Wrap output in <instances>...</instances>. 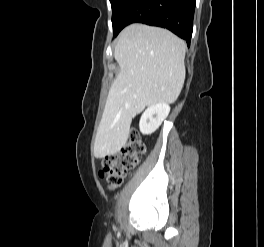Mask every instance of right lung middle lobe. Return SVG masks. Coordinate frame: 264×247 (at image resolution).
Instances as JSON below:
<instances>
[{
    "mask_svg": "<svg viewBox=\"0 0 264 247\" xmlns=\"http://www.w3.org/2000/svg\"><path fill=\"white\" fill-rule=\"evenodd\" d=\"M130 0H110L112 6L113 33L117 28V20Z\"/></svg>",
    "mask_w": 264,
    "mask_h": 247,
    "instance_id": "right-lung-middle-lobe-1",
    "label": "right lung middle lobe"
}]
</instances>
